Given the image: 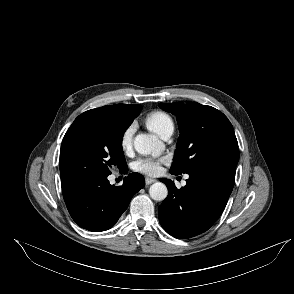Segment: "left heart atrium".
Wrapping results in <instances>:
<instances>
[{
    "instance_id": "obj_1",
    "label": "left heart atrium",
    "mask_w": 294,
    "mask_h": 294,
    "mask_svg": "<svg viewBox=\"0 0 294 294\" xmlns=\"http://www.w3.org/2000/svg\"><path fill=\"white\" fill-rule=\"evenodd\" d=\"M164 161V158L161 157H141L132 163V168L136 172L150 176H155L160 173L161 163H163Z\"/></svg>"
}]
</instances>
